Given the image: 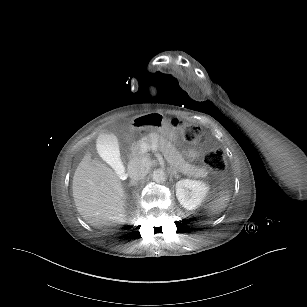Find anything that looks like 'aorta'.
<instances>
[{"mask_svg":"<svg viewBox=\"0 0 307 307\" xmlns=\"http://www.w3.org/2000/svg\"><path fill=\"white\" fill-rule=\"evenodd\" d=\"M167 178V175L163 169H156L153 171V180L157 183L164 182Z\"/></svg>","mask_w":307,"mask_h":307,"instance_id":"obj_1","label":"aorta"}]
</instances>
